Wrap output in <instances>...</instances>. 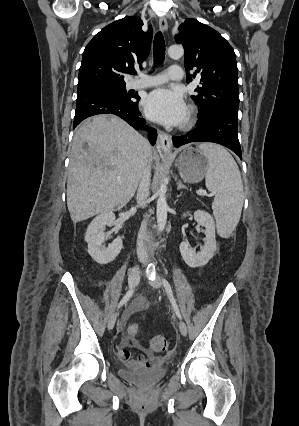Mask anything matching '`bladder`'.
<instances>
[{
	"instance_id": "obj_1",
	"label": "bladder",
	"mask_w": 299,
	"mask_h": 426,
	"mask_svg": "<svg viewBox=\"0 0 299 426\" xmlns=\"http://www.w3.org/2000/svg\"><path fill=\"white\" fill-rule=\"evenodd\" d=\"M119 374L123 379L133 384L139 386H151L158 383L166 376L167 369L164 367L140 370L123 369L120 370Z\"/></svg>"
}]
</instances>
